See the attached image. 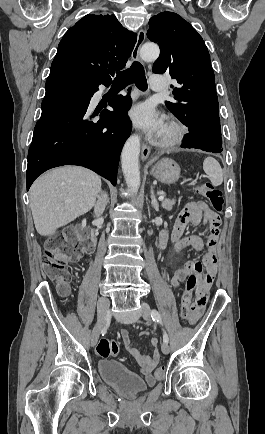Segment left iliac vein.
<instances>
[{
    "label": "left iliac vein",
    "mask_w": 265,
    "mask_h": 434,
    "mask_svg": "<svg viewBox=\"0 0 265 434\" xmlns=\"http://www.w3.org/2000/svg\"><path fill=\"white\" fill-rule=\"evenodd\" d=\"M141 316L143 317L144 320H146L147 322L150 321L151 316H150V306L148 303L146 302H142L141 303ZM161 350L164 354L169 353V346L167 343H162L161 345Z\"/></svg>",
    "instance_id": "1"
}]
</instances>
